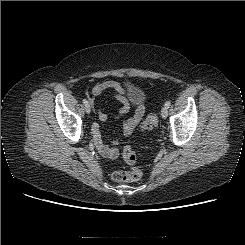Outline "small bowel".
<instances>
[{"mask_svg":"<svg viewBox=\"0 0 245 245\" xmlns=\"http://www.w3.org/2000/svg\"><path fill=\"white\" fill-rule=\"evenodd\" d=\"M129 88L130 86L128 84H121L116 81H106L93 86L91 94L92 96H99L105 92L113 91L115 99L122 104V107L117 115V117H120L130 110V103L125 97V94ZM90 103L91 105L94 104L92 99H90ZM144 113V103L142 101H138L135 106L133 115L123 123L122 133L124 136L132 134L138 123L142 120ZM98 117L102 121L107 119V115L100 110L98 111ZM93 138L95 147L103 157L113 159L118 156V141H113L110 145L104 144L101 137V128L98 125L94 126L93 128Z\"/></svg>","mask_w":245,"mask_h":245,"instance_id":"1","label":"small bowel"}]
</instances>
